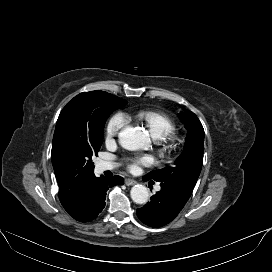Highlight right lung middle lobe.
Instances as JSON below:
<instances>
[{"label":"right lung middle lobe","instance_id":"obj_1","mask_svg":"<svg viewBox=\"0 0 272 272\" xmlns=\"http://www.w3.org/2000/svg\"><path fill=\"white\" fill-rule=\"evenodd\" d=\"M127 101L104 91L83 92L69 102L57 120L53 140L79 173L94 171L92 156L103 142L109 115Z\"/></svg>","mask_w":272,"mask_h":272}]
</instances>
